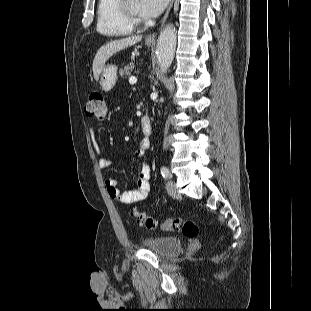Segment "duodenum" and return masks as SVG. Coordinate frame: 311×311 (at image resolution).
Returning a JSON list of instances; mask_svg holds the SVG:
<instances>
[{"mask_svg":"<svg viewBox=\"0 0 311 311\" xmlns=\"http://www.w3.org/2000/svg\"><path fill=\"white\" fill-rule=\"evenodd\" d=\"M141 128H142L144 138H148L152 132V123L149 117L144 116L141 118Z\"/></svg>","mask_w":311,"mask_h":311,"instance_id":"410a0bca","label":"duodenum"}]
</instances>
